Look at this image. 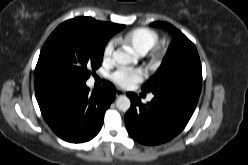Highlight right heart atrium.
<instances>
[{"label":"right heart atrium","instance_id":"right-heart-atrium-1","mask_svg":"<svg viewBox=\"0 0 248 165\" xmlns=\"http://www.w3.org/2000/svg\"><path fill=\"white\" fill-rule=\"evenodd\" d=\"M115 48V42L109 41L103 50V60L109 62L112 59Z\"/></svg>","mask_w":248,"mask_h":165}]
</instances>
